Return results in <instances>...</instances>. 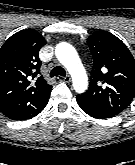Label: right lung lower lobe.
I'll use <instances>...</instances> for the list:
<instances>
[{"label":"right lung lower lobe","instance_id":"98d812e1","mask_svg":"<svg viewBox=\"0 0 135 165\" xmlns=\"http://www.w3.org/2000/svg\"><path fill=\"white\" fill-rule=\"evenodd\" d=\"M48 100L45 102L35 106V107H30V108H25V109H18L14 110L11 112L3 113L6 117L13 119V120H25V119H30L37 114H39L47 105Z\"/></svg>","mask_w":135,"mask_h":165}]
</instances>
